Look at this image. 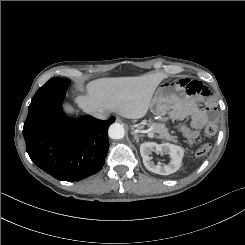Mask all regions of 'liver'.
<instances>
[{
	"instance_id": "liver-1",
	"label": "liver",
	"mask_w": 245,
	"mask_h": 245,
	"mask_svg": "<svg viewBox=\"0 0 245 245\" xmlns=\"http://www.w3.org/2000/svg\"><path fill=\"white\" fill-rule=\"evenodd\" d=\"M165 77L157 72L94 80L87 85L88 95L78 96L76 102L86 113L104 110L128 119H140L146 115L153 94Z\"/></svg>"
}]
</instances>
